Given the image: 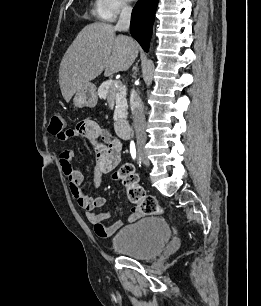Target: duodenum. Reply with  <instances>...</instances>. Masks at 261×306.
<instances>
[{
	"label": "duodenum",
	"mask_w": 261,
	"mask_h": 306,
	"mask_svg": "<svg viewBox=\"0 0 261 306\" xmlns=\"http://www.w3.org/2000/svg\"><path fill=\"white\" fill-rule=\"evenodd\" d=\"M115 130L117 134L123 139H128L132 131L129 122L124 119H119L116 121Z\"/></svg>",
	"instance_id": "duodenum-1"
}]
</instances>
